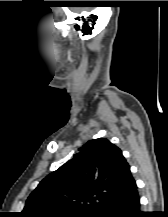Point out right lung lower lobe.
<instances>
[{"label":"right lung lower lobe","instance_id":"obj_1","mask_svg":"<svg viewBox=\"0 0 168 217\" xmlns=\"http://www.w3.org/2000/svg\"><path fill=\"white\" fill-rule=\"evenodd\" d=\"M95 217H144L140 211L138 190L108 203Z\"/></svg>","mask_w":168,"mask_h":217}]
</instances>
